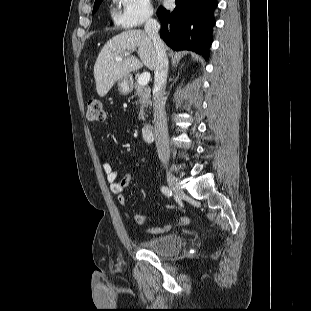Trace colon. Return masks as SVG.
<instances>
[{"mask_svg":"<svg viewBox=\"0 0 311 311\" xmlns=\"http://www.w3.org/2000/svg\"><path fill=\"white\" fill-rule=\"evenodd\" d=\"M87 118L90 121H102L104 112L102 103L99 99H91L87 104Z\"/></svg>","mask_w":311,"mask_h":311,"instance_id":"1","label":"colon"}]
</instances>
